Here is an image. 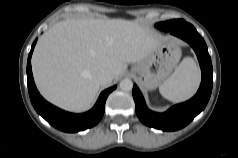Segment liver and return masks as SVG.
Wrapping results in <instances>:
<instances>
[{
  "label": "liver",
  "mask_w": 238,
  "mask_h": 158,
  "mask_svg": "<svg viewBox=\"0 0 238 158\" xmlns=\"http://www.w3.org/2000/svg\"><path fill=\"white\" fill-rule=\"evenodd\" d=\"M163 40L148 27L124 19L60 21L35 47V83L43 97L58 107L86 111L102 86L96 79L100 70H108L116 79L128 63L140 62Z\"/></svg>",
  "instance_id": "obj_1"
}]
</instances>
